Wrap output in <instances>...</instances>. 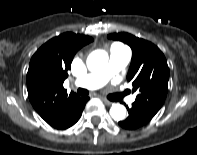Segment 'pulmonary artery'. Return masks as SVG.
<instances>
[{
	"instance_id": "obj_1",
	"label": "pulmonary artery",
	"mask_w": 197,
	"mask_h": 155,
	"mask_svg": "<svg viewBox=\"0 0 197 155\" xmlns=\"http://www.w3.org/2000/svg\"><path fill=\"white\" fill-rule=\"evenodd\" d=\"M131 58L128 47L115 43L110 48L109 61L107 66L98 72L86 74L75 80L74 84L79 87L94 90L102 87L108 80L123 69ZM135 98L131 96L129 103L134 102Z\"/></svg>"
}]
</instances>
